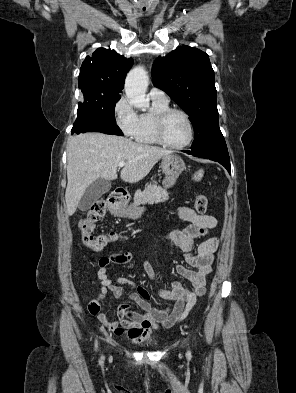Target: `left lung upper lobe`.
I'll list each match as a JSON object with an SVG mask.
<instances>
[{
	"label": "left lung upper lobe",
	"instance_id": "5c2ea615",
	"mask_svg": "<svg viewBox=\"0 0 296 393\" xmlns=\"http://www.w3.org/2000/svg\"><path fill=\"white\" fill-rule=\"evenodd\" d=\"M152 73L154 86L189 114L195 133L191 150L226 147L219 128L214 71L208 54L182 46L157 58Z\"/></svg>",
	"mask_w": 296,
	"mask_h": 393
}]
</instances>
